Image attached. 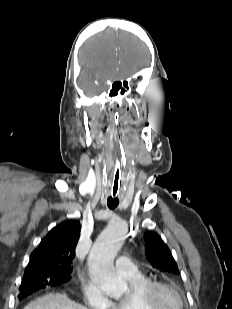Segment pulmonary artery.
<instances>
[{
  "mask_svg": "<svg viewBox=\"0 0 232 309\" xmlns=\"http://www.w3.org/2000/svg\"><path fill=\"white\" fill-rule=\"evenodd\" d=\"M116 269L124 277H132L139 274L138 267L126 256L116 259Z\"/></svg>",
  "mask_w": 232,
  "mask_h": 309,
  "instance_id": "e3ab8cb5",
  "label": "pulmonary artery"
}]
</instances>
